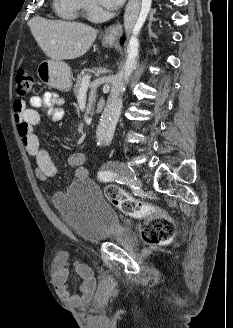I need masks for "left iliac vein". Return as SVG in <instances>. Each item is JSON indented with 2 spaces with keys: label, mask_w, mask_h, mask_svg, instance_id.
<instances>
[{
  "label": "left iliac vein",
  "mask_w": 233,
  "mask_h": 328,
  "mask_svg": "<svg viewBox=\"0 0 233 328\" xmlns=\"http://www.w3.org/2000/svg\"><path fill=\"white\" fill-rule=\"evenodd\" d=\"M119 172L121 173V179L124 180L127 185L139 188L142 187V182L136 177L135 172L127 165H120Z\"/></svg>",
  "instance_id": "1"
}]
</instances>
